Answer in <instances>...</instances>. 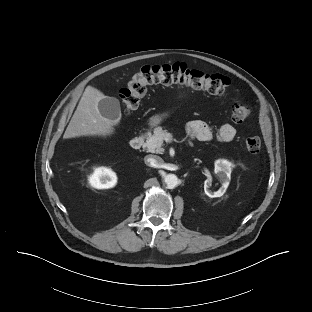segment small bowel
<instances>
[{
    "mask_svg": "<svg viewBox=\"0 0 312 312\" xmlns=\"http://www.w3.org/2000/svg\"><path fill=\"white\" fill-rule=\"evenodd\" d=\"M187 132L190 138H196L201 141H210L213 139V132L209 125L203 121H191L187 125ZM236 128L229 123L223 124L216 133V139L221 142H229L236 136Z\"/></svg>",
    "mask_w": 312,
    "mask_h": 312,
    "instance_id": "small-bowel-1",
    "label": "small bowel"
}]
</instances>
